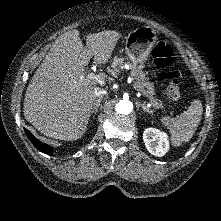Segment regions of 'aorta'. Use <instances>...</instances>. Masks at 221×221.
I'll return each instance as SVG.
<instances>
[{"label": "aorta", "mask_w": 221, "mask_h": 221, "mask_svg": "<svg viewBox=\"0 0 221 221\" xmlns=\"http://www.w3.org/2000/svg\"><path fill=\"white\" fill-rule=\"evenodd\" d=\"M133 109L132 102L128 100H121L119 103L116 104L115 110L119 114L128 115L131 113Z\"/></svg>", "instance_id": "obj_1"}]
</instances>
